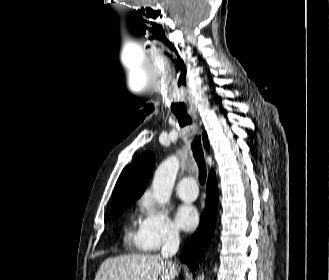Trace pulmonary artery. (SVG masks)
<instances>
[{"mask_svg":"<svg viewBox=\"0 0 329 280\" xmlns=\"http://www.w3.org/2000/svg\"><path fill=\"white\" fill-rule=\"evenodd\" d=\"M178 196L185 201H194L197 197V185L193 177H184L177 183Z\"/></svg>","mask_w":329,"mask_h":280,"instance_id":"pulmonary-artery-1","label":"pulmonary artery"}]
</instances>
